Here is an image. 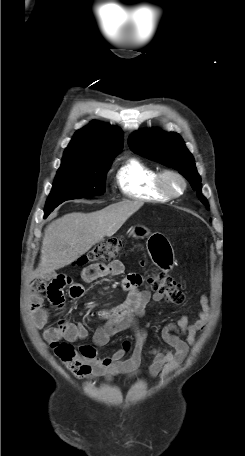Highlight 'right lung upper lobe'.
I'll return each instance as SVG.
<instances>
[{
	"mask_svg": "<svg viewBox=\"0 0 245 456\" xmlns=\"http://www.w3.org/2000/svg\"><path fill=\"white\" fill-rule=\"evenodd\" d=\"M124 136L120 129L92 121L78 130L65 149L62 163L100 161L115 157L123 148Z\"/></svg>",
	"mask_w": 245,
	"mask_h": 456,
	"instance_id": "1",
	"label": "right lung upper lobe"
}]
</instances>
